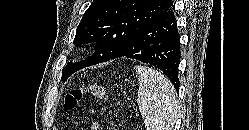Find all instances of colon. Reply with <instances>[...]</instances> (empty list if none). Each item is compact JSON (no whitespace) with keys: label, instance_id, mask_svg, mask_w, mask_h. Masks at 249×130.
<instances>
[{"label":"colon","instance_id":"1","mask_svg":"<svg viewBox=\"0 0 249 130\" xmlns=\"http://www.w3.org/2000/svg\"><path fill=\"white\" fill-rule=\"evenodd\" d=\"M86 98L91 100L90 112L94 113L106 101V93L97 83H83L67 93L63 107L66 111L73 110Z\"/></svg>","mask_w":249,"mask_h":130}]
</instances>
